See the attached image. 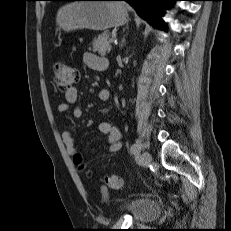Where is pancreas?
I'll return each instance as SVG.
<instances>
[{
  "instance_id": "pancreas-1",
  "label": "pancreas",
  "mask_w": 231,
  "mask_h": 231,
  "mask_svg": "<svg viewBox=\"0 0 231 231\" xmlns=\"http://www.w3.org/2000/svg\"><path fill=\"white\" fill-rule=\"evenodd\" d=\"M110 34L108 32H104L98 36V38L93 40L92 48H89L93 52H98V54L105 56L106 53H109L111 50V45L109 42Z\"/></svg>"
}]
</instances>
